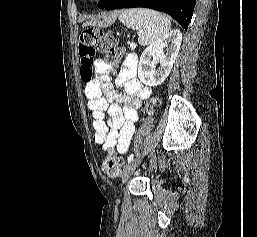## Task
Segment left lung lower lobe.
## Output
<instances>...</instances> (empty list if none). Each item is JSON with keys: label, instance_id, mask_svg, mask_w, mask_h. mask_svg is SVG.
I'll use <instances>...</instances> for the list:
<instances>
[{"label": "left lung lower lobe", "instance_id": "1", "mask_svg": "<svg viewBox=\"0 0 257 237\" xmlns=\"http://www.w3.org/2000/svg\"><path fill=\"white\" fill-rule=\"evenodd\" d=\"M135 7L165 12L187 30L193 15L195 0H109L103 8L113 10Z\"/></svg>", "mask_w": 257, "mask_h": 237}]
</instances>
